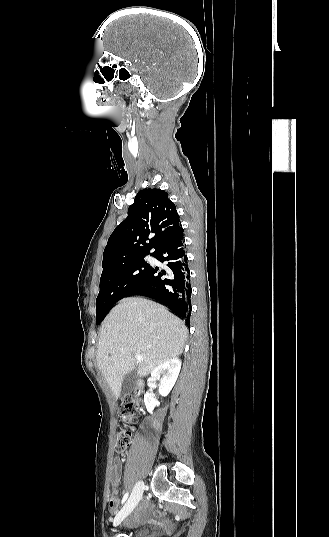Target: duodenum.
Returning <instances> with one entry per match:
<instances>
[{"instance_id": "410a0bca", "label": "duodenum", "mask_w": 329, "mask_h": 537, "mask_svg": "<svg viewBox=\"0 0 329 537\" xmlns=\"http://www.w3.org/2000/svg\"><path fill=\"white\" fill-rule=\"evenodd\" d=\"M137 386H138L139 388H141V387H142V383H141L140 381H138Z\"/></svg>"}]
</instances>
